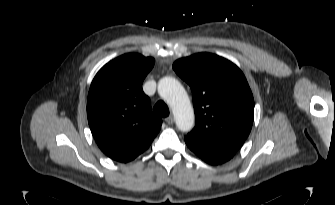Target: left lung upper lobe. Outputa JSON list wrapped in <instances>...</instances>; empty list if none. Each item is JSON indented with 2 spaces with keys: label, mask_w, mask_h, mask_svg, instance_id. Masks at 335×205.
I'll list each match as a JSON object with an SVG mask.
<instances>
[{
  "label": "left lung upper lobe",
  "mask_w": 335,
  "mask_h": 205,
  "mask_svg": "<svg viewBox=\"0 0 335 205\" xmlns=\"http://www.w3.org/2000/svg\"><path fill=\"white\" fill-rule=\"evenodd\" d=\"M173 69L192 90L196 124L186 137L214 148L238 150L254 118L253 95L242 71L210 53L179 59Z\"/></svg>",
  "instance_id": "left-lung-upper-lobe-1"
}]
</instances>
